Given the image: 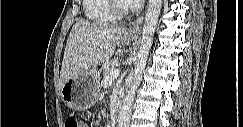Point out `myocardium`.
Instances as JSON below:
<instances>
[{
    "label": "myocardium",
    "mask_w": 243,
    "mask_h": 127,
    "mask_svg": "<svg viewBox=\"0 0 243 127\" xmlns=\"http://www.w3.org/2000/svg\"><path fill=\"white\" fill-rule=\"evenodd\" d=\"M113 13L119 17H126L132 12V5L123 0H112L111 3Z\"/></svg>",
    "instance_id": "f54148a6"
}]
</instances>
